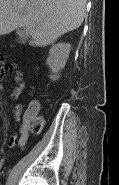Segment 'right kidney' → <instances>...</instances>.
I'll return each mask as SVG.
<instances>
[{
    "label": "right kidney",
    "instance_id": "ca27d5eb",
    "mask_svg": "<svg viewBox=\"0 0 119 185\" xmlns=\"http://www.w3.org/2000/svg\"><path fill=\"white\" fill-rule=\"evenodd\" d=\"M71 50L70 44L58 43L49 50V56L46 64L51 69L53 75L50 77L52 80L58 78V72L65 67Z\"/></svg>",
    "mask_w": 119,
    "mask_h": 185
}]
</instances>
